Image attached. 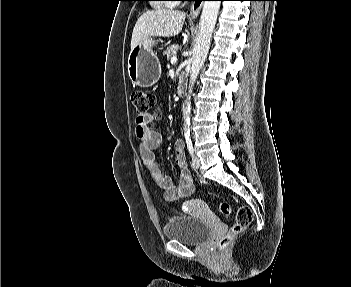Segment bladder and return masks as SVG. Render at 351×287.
I'll use <instances>...</instances> for the list:
<instances>
[{
    "mask_svg": "<svg viewBox=\"0 0 351 287\" xmlns=\"http://www.w3.org/2000/svg\"><path fill=\"white\" fill-rule=\"evenodd\" d=\"M211 233L208 221L186 215L171 217L165 227L164 235L169 240H176L187 245H199L204 242Z\"/></svg>",
    "mask_w": 351,
    "mask_h": 287,
    "instance_id": "obj_1",
    "label": "bladder"
}]
</instances>
